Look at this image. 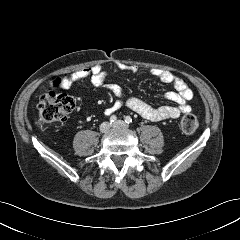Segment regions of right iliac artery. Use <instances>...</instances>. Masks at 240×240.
I'll return each mask as SVG.
<instances>
[{"instance_id":"1","label":"right iliac artery","mask_w":240,"mask_h":240,"mask_svg":"<svg viewBox=\"0 0 240 240\" xmlns=\"http://www.w3.org/2000/svg\"><path fill=\"white\" fill-rule=\"evenodd\" d=\"M117 120V117L115 115H112L110 117V123H114Z\"/></svg>"}]
</instances>
